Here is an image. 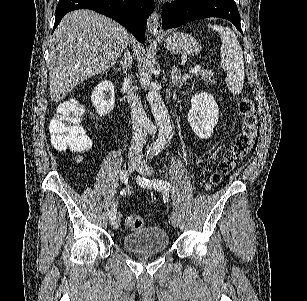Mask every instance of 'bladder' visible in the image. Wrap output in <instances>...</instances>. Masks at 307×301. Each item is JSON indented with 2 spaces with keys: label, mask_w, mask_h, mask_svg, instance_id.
<instances>
[{
  "label": "bladder",
  "mask_w": 307,
  "mask_h": 301,
  "mask_svg": "<svg viewBox=\"0 0 307 301\" xmlns=\"http://www.w3.org/2000/svg\"><path fill=\"white\" fill-rule=\"evenodd\" d=\"M121 243L129 251L155 253L167 250L169 239L165 230L148 227L129 233Z\"/></svg>",
  "instance_id": "bladder-1"
}]
</instances>
